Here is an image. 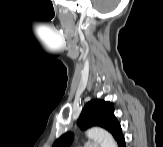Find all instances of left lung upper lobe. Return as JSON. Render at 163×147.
<instances>
[{
  "label": "left lung upper lobe",
  "instance_id": "left-lung-upper-lobe-1",
  "mask_svg": "<svg viewBox=\"0 0 163 147\" xmlns=\"http://www.w3.org/2000/svg\"><path fill=\"white\" fill-rule=\"evenodd\" d=\"M77 124L84 130L92 126H100L108 130L115 139L122 132L120 123L114 115L113 104L104 100L96 99L88 102L83 108ZM71 140L72 135L65 133L55 141L53 147H67Z\"/></svg>",
  "mask_w": 163,
  "mask_h": 147
}]
</instances>
